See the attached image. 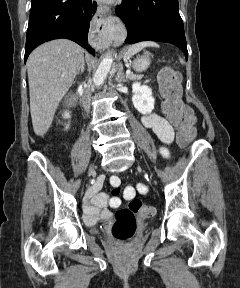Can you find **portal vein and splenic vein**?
Returning a JSON list of instances; mask_svg holds the SVG:
<instances>
[{"label":"portal vein and splenic vein","instance_id":"obj_1","mask_svg":"<svg viewBox=\"0 0 240 288\" xmlns=\"http://www.w3.org/2000/svg\"><path fill=\"white\" fill-rule=\"evenodd\" d=\"M126 74H131V72H130V71H127Z\"/></svg>","mask_w":240,"mask_h":288}]
</instances>
